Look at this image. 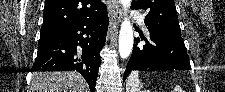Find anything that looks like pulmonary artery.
<instances>
[{"label": "pulmonary artery", "instance_id": "e3ab8cb5", "mask_svg": "<svg viewBox=\"0 0 225 92\" xmlns=\"http://www.w3.org/2000/svg\"><path fill=\"white\" fill-rule=\"evenodd\" d=\"M132 15L134 16V18H136V21L138 22V24L140 26H142L143 28H145V16L142 13L139 12H132Z\"/></svg>", "mask_w": 225, "mask_h": 92}]
</instances>
